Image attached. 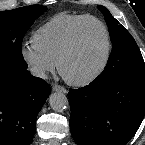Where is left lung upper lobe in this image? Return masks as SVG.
Here are the masks:
<instances>
[{
	"label": "left lung upper lobe",
	"mask_w": 145,
	"mask_h": 145,
	"mask_svg": "<svg viewBox=\"0 0 145 145\" xmlns=\"http://www.w3.org/2000/svg\"><path fill=\"white\" fill-rule=\"evenodd\" d=\"M98 9L104 14L113 47L104 71L95 80L105 82L119 75L145 72V63L134 38L107 8L99 5Z\"/></svg>",
	"instance_id": "5c2ea615"
}]
</instances>
